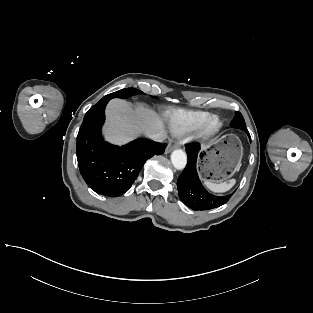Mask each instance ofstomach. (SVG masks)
I'll return each instance as SVG.
<instances>
[{
	"instance_id": "0dacf381",
	"label": "stomach",
	"mask_w": 313,
	"mask_h": 313,
	"mask_svg": "<svg viewBox=\"0 0 313 313\" xmlns=\"http://www.w3.org/2000/svg\"><path fill=\"white\" fill-rule=\"evenodd\" d=\"M242 145L235 135H226L214 143L201 148L199 166L204 178L222 182L230 178L239 168Z\"/></svg>"
}]
</instances>
